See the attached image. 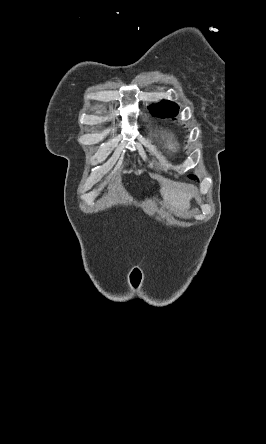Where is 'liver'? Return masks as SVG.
<instances>
[{"label": "liver", "mask_w": 266, "mask_h": 444, "mask_svg": "<svg viewBox=\"0 0 266 444\" xmlns=\"http://www.w3.org/2000/svg\"><path fill=\"white\" fill-rule=\"evenodd\" d=\"M160 192L167 206L180 211L187 209L191 196L181 187V185L168 183L161 187Z\"/></svg>", "instance_id": "1"}]
</instances>
